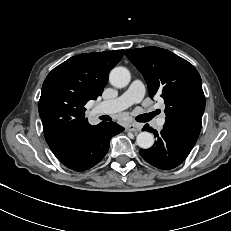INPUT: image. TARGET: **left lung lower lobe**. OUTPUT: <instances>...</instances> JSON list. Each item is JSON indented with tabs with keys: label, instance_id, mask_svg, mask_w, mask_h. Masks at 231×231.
Wrapping results in <instances>:
<instances>
[{
	"label": "left lung lower lobe",
	"instance_id": "obj_1",
	"mask_svg": "<svg viewBox=\"0 0 231 231\" xmlns=\"http://www.w3.org/2000/svg\"><path fill=\"white\" fill-rule=\"evenodd\" d=\"M144 131L154 133L157 138L149 149H141L140 155L151 165L169 170L180 165L189 155L197 139L182 130L165 124L160 133L146 124Z\"/></svg>",
	"mask_w": 231,
	"mask_h": 231
}]
</instances>
